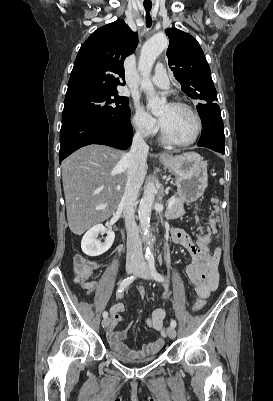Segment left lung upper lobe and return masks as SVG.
Masks as SVG:
<instances>
[{
  "instance_id": "left-lung-upper-lobe-1",
  "label": "left lung upper lobe",
  "mask_w": 273,
  "mask_h": 401,
  "mask_svg": "<svg viewBox=\"0 0 273 401\" xmlns=\"http://www.w3.org/2000/svg\"><path fill=\"white\" fill-rule=\"evenodd\" d=\"M165 32L169 37L168 65L182 91L192 99L217 101L210 67L197 40L176 28Z\"/></svg>"
}]
</instances>
